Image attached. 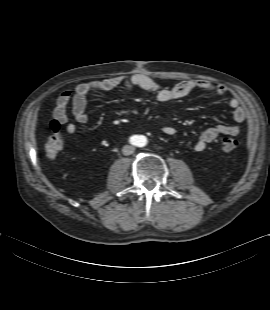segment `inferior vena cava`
I'll return each instance as SVG.
<instances>
[{
    "label": "inferior vena cava",
    "instance_id": "1",
    "mask_svg": "<svg viewBox=\"0 0 270 310\" xmlns=\"http://www.w3.org/2000/svg\"><path fill=\"white\" fill-rule=\"evenodd\" d=\"M135 148L133 146L130 145H126L122 148V153L124 155H131L132 153H134Z\"/></svg>",
    "mask_w": 270,
    "mask_h": 310
}]
</instances>
